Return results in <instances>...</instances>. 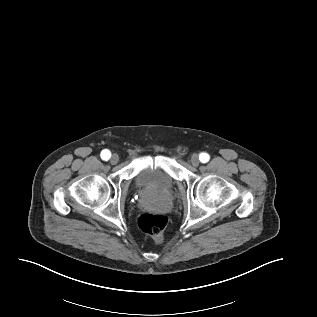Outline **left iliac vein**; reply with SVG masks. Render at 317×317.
Listing matches in <instances>:
<instances>
[{
  "mask_svg": "<svg viewBox=\"0 0 317 317\" xmlns=\"http://www.w3.org/2000/svg\"><path fill=\"white\" fill-rule=\"evenodd\" d=\"M190 162L193 166L197 167L199 165V157L197 154H193L190 158Z\"/></svg>",
  "mask_w": 317,
  "mask_h": 317,
  "instance_id": "obj_1",
  "label": "left iliac vein"
}]
</instances>
